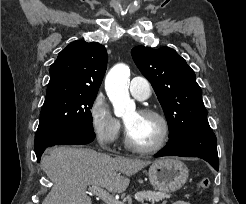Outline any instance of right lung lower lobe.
<instances>
[{"label":"right lung lower lobe","mask_w":246,"mask_h":204,"mask_svg":"<svg viewBox=\"0 0 246 204\" xmlns=\"http://www.w3.org/2000/svg\"><path fill=\"white\" fill-rule=\"evenodd\" d=\"M94 138H95V133L93 131L77 130L72 135H69L63 140H61L60 142H58L56 145L88 144L92 142ZM48 147L49 146L40 147L37 150H35L37 162L40 161L42 153Z\"/></svg>","instance_id":"right-lung-lower-lobe-1"}]
</instances>
